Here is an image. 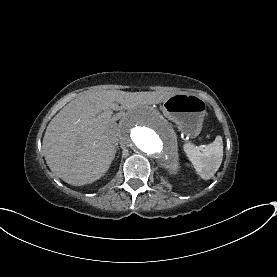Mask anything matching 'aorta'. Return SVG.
Returning <instances> with one entry per match:
<instances>
[{"instance_id":"obj_1","label":"aorta","mask_w":277,"mask_h":277,"mask_svg":"<svg viewBox=\"0 0 277 277\" xmlns=\"http://www.w3.org/2000/svg\"><path fill=\"white\" fill-rule=\"evenodd\" d=\"M122 142L137 155L174 171L178 168V146L172 127L157 112L138 109L128 115L122 128Z\"/></svg>"}]
</instances>
